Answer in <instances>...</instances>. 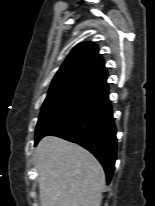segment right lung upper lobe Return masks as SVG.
I'll use <instances>...</instances> for the list:
<instances>
[{"instance_id":"right-lung-upper-lobe-1","label":"right lung upper lobe","mask_w":155,"mask_h":206,"mask_svg":"<svg viewBox=\"0 0 155 206\" xmlns=\"http://www.w3.org/2000/svg\"><path fill=\"white\" fill-rule=\"evenodd\" d=\"M73 87H86L109 94L107 70L94 43H79L73 48L54 76L50 90Z\"/></svg>"}]
</instances>
